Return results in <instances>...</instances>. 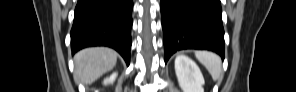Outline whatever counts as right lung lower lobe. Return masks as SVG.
I'll return each mask as SVG.
<instances>
[{"mask_svg": "<svg viewBox=\"0 0 296 92\" xmlns=\"http://www.w3.org/2000/svg\"><path fill=\"white\" fill-rule=\"evenodd\" d=\"M133 0H78L71 29L75 53L89 46H108L130 62Z\"/></svg>", "mask_w": 296, "mask_h": 92, "instance_id": "right-lung-lower-lobe-1", "label": "right lung lower lobe"}]
</instances>
